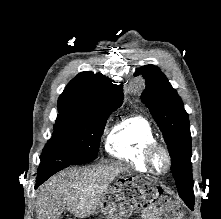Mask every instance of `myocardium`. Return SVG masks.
I'll return each mask as SVG.
<instances>
[{
  "instance_id": "f54148a6",
  "label": "myocardium",
  "mask_w": 221,
  "mask_h": 219,
  "mask_svg": "<svg viewBox=\"0 0 221 219\" xmlns=\"http://www.w3.org/2000/svg\"><path fill=\"white\" fill-rule=\"evenodd\" d=\"M157 152H161L165 157L166 166L163 171H158L154 165V156ZM143 157H144V161H145L146 165L148 166L150 172L155 175H164L171 168V165H172L171 154H170L168 148L160 142L155 141V142L148 144L144 150Z\"/></svg>"
}]
</instances>
